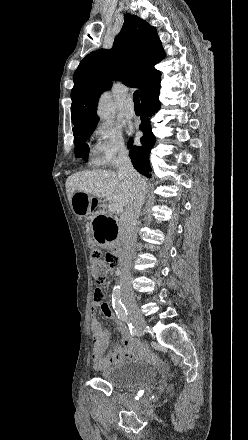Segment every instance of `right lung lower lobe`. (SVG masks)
<instances>
[{
    "label": "right lung lower lobe",
    "mask_w": 248,
    "mask_h": 440,
    "mask_svg": "<svg viewBox=\"0 0 248 440\" xmlns=\"http://www.w3.org/2000/svg\"><path fill=\"white\" fill-rule=\"evenodd\" d=\"M160 89H155L154 91L145 95L141 101V120L142 124L139 129L143 132V137L141 138V146H133V140L130 139L128 142V148L130 149V158L134 168L145 175L146 177H151V166L149 161L150 150L154 145V135L151 131L150 117L155 114L160 109V101L158 100Z\"/></svg>",
    "instance_id": "right-lung-lower-lobe-1"
}]
</instances>
